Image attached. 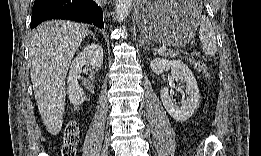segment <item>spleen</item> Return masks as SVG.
<instances>
[{"instance_id":"obj_1","label":"spleen","mask_w":261,"mask_h":156,"mask_svg":"<svg viewBox=\"0 0 261 156\" xmlns=\"http://www.w3.org/2000/svg\"><path fill=\"white\" fill-rule=\"evenodd\" d=\"M199 38L205 55L213 56L217 52V40L210 20L200 15Z\"/></svg>"}]
</instances>
